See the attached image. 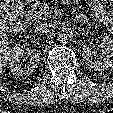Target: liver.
Instances as JSON below:
<instances>
[{
  "instance_id": "obj_1",
  "label": "liver",
  "mask_w": 113,
  "mask_h": 113,
  "mask_svg": "<svg viewBox=\"0 0 113 113\" xmlns=\"http://www.w3.org/2000/svg\"><path fill=\"white\" fill-rule=\"evenodd\" d=\"M2 14L3 8L0 7V75L3 73V68L10 61L12 55V48L5 34V31L9 30L8 22Z\"/></svg>"
}]
</instances>
